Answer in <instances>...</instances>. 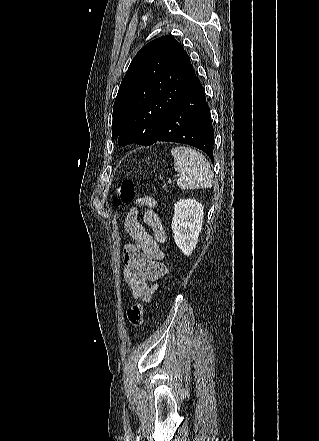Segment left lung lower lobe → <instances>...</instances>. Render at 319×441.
<instances>
[{
    "label": "left lung lower lobe",
    "instance_id": "1",
    "mask_svg": "<svg viewBox=\"0 0 319 441\" xmlns=\"http://www.w3.org/2000/svg\"><path fill=\"white\" fill-rule=\"evenodd\" d=\"M157 141L194 146L213 161L214 129L204 87L196 74L162 122L151 144ZM118 143L122 146L128 144L120 136Z\"/></svg>",
    "mask_w": 319,
    "mask_h": 441
}]
</instances>
